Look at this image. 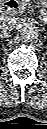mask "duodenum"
I'll return each instance as SVG.
<instances>
[{
    "mask_svg": "<svg viewBox=\"0 0 47 129\" xmlns=\"http://www.w3.org/2000/svg\"><path fill=\"white\" fill-rule=\"evenodd\" d=\"M17 7H18V5L14 0H7V1L4 2L3 12L4 13H11Z\"/></svg>",
    "mask_w": 47,
    "mask_h": 129,
    "instance_id": "duodenum-1",
    "label": "duodenum"
}]
</instances>
